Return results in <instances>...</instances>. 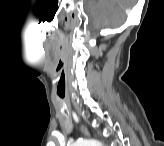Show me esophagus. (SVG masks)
Listing matches in <instances>:
<instances>
[{"label": "esophagus", "instance_id": "1", "mask_svg": "<svg viewBox=\"0 0 164 146\" xmlns=\"http://www.w3.org/2000/svg\"><path fill=\"white\" fill-rule=\"evenodd\" d=\"M81 131L85 136H90L89 131L85 126H81Z\"/></svg>", "mask_w": 164, "mask_h": 146}]
</instances>
